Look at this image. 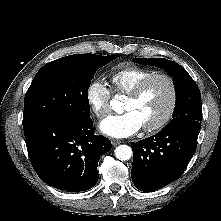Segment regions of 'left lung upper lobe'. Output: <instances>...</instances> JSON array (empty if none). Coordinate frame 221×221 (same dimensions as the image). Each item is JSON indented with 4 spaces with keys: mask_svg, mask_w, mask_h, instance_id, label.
Returning <instances> with one entry per match:
<instances>
[{
    "mask_svg": "<svg viewBox=\"0 0 221 221\" xmlns=\"http://www.w3.org/2000/svg\"><path fill=\"white\" fill-rule=\"evenodd\" d=\"M134 62L164 68L172 77L176 90L173 120L166 126L197 124L201 126V94L195 81L179 64L165 58H134Z\"/></svg>",
    "mask_w": 221,
    "mask_h": 221,
    "instance_id": "left-lung-upper-lobe-1",
    "label": "left lung upper lobe"
}]
</instances>
